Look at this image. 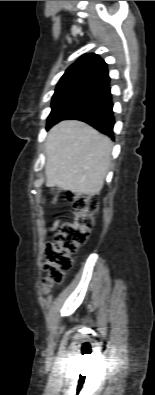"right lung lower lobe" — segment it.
I'll list each match as a JSON object with an SVG mask.
<instances>
[{"label": "right lung lower lobe", "instance_id": "right-lung-lower-lobe-1", "mask_svg": "<svg viewBox=\"0 0 155 395\" xmlns=\"http://www.w3.org/2000/svg\"><path fill=\"white\" fill-rule=\"evenodd\" d=\"M109 86L91 103L65 119H78L113 138V103ZM64 120V119H63Z\"/></svg>", "mask_w": 155, "mask_h": 395}]
</instances>
